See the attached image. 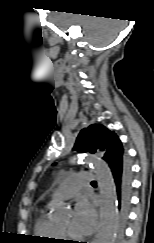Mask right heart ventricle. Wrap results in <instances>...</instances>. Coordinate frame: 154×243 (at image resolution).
<instances>
[{
    "instance_id": "right-heart-ventricle-1",
    "label": "right heart ventricle",
    "mask_w": 154,
    "mask_h": 243,
    "mask_svg": "<svg viewBox=\"0 0 154 243\" xmlns=\"http://www.w3.org/2000/svg\"><path fill=\"white\" fill-rule=\"evenodd\" d=\"M35 233L43 238L49 240H55L61 238V235L58 230V225L52 222L46 215L44 210H41L38 214L35 223Z\"/></svg>"
}]
</instances>
